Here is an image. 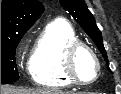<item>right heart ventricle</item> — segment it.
<instances>
[{
	"label": "right heart ventricle",
	"mask_w": 121,
	"mask_h": 94,
	"mask_svg": "<svg viewBox=\"0 0 121 94\" xmlns=\"http://www.w3.org/2000/svg\"><path fill=\"white\" fill-rule=\"evenodd\" d=\"M79 40L75 29L65 20L46 24L38 36L29 61V74L35 84L49 89H66L73 83L64 70L65 50Z\"/></svg>",
	"instance_id": "right-heart-ventricle-1"
}]
</instances>
